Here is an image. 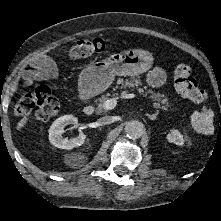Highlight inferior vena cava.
I'll return each mask as SVG.
<instances>
[{
    "instance_id": "inferior-vena-cava-1",
    "label": "inferior vena cava",
    "mask_w": 221,
    "mask_h": 221,
    "mask_svg": "<svg viewBox=\"0 0 221 221\" xmlns=\"http://www.w3.org/2000/svg\"><path fill=\"white\" fill-rule=\"evenodd\" d=\"M99 123H100L101 125L111 124V123H112V117H110V116L101 117V118L99 119Z\"/></svg>"
}]
</instances>
